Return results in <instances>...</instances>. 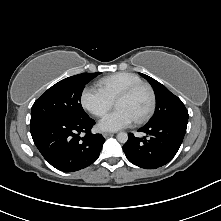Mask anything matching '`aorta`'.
Listing matches in <instances>:
<instances>
[{
	"mask_svg": "<svg viewBox=\"0 0 221 221\" xmlns=\"http://www.w3.org/2000/svg\"><path fill=\"white\" fill-rule=\"evenodd\" d=\"M117 140L120 142V143H126L128 141V134L125 133V132H120L117 134Z\"/></svg>",
	"mask_w": 221,
	"mask_h": 221,
	"instance_id": "aorta-1",
	"label": "aorta"
}]
</instances>
